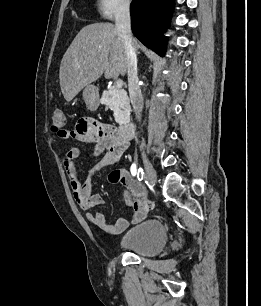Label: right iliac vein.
Instances as JSON below:
<instances>
[{"mask_svg":"<svg viewBox=\"0 0 261 306\" xmlns=\"http://www.w3.org/2000/svg\"><path fill=\"white\" fill-rule=\"evenodd\" d=\"M142 159L144 162L146 179L152 186H154L157 182L156 172L144 152H142Z\"/></svg>","mask_w":261,"mask_h":306,"instance_id":"obj_1","label":"right iliac vein"}]
</instances>
